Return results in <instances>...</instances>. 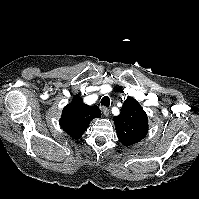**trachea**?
I'll list each match as a JSON object with an SVG mask.
<instances>
[{
    "label": "trachea",
    "mask_w": 199,
    "mask_h": 199,
    "mask_svg": "<svg viewBox=\"0 0 199 199\" xmlns=\"http://www.w3.org/2000/svg\"><path fill=\"white\" fill-rule=\"evenodd\" d=\"M101 105L109 107L110 106V98L108 96H105L101 99Z\"/></svg>",
    "instance_id": "trachea-1"
}]
</instances>
